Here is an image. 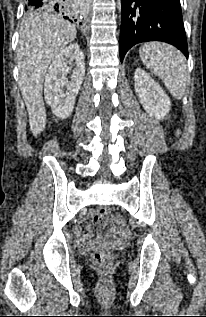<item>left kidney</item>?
I'll use <instances>...</instances> for the list:
<instances>
[{
  "mask_svg": "<svg viewBox=\"0 0 206 317\" xmlns=\"http://www.w3.org/2000/svg\"><path fill=\"white\" fill-rule=\"evenodd\" d=\"M134 81L138 98L146 112L158 120L164 119L171 109V102L160 85L141 68L136 69Z\"/></svg>",
  "mask_w": 206,
  "mask_h": 317,
  "instance_id": "1",
  "label": "left kidney"
}]
</instances>
